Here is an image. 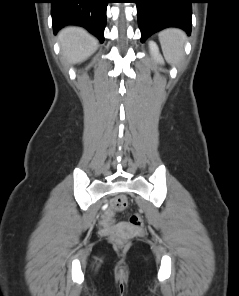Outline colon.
Masks as SVG:
<instances>
[{
  "instance_id": "obj_1",
  "label": "colon",
  "mask_w": 239,
  "mask_h": 296,
  "mask_svg": "<svg viewBox=\"0 0 239 296\" xmlns=\"http://www.w3.org/2000/svg\"><path fill=\"white\" fill-rule=\"evenodd\" d=\"M127 205V198L125 196H117L111 201V209L115 212H120L125 209ZM129 223L133 227H141L143 225V219L139 214H131L129 216ZM113 240L122 243V238L119 236H114Z\"/></svg>"
}]
</instances>
